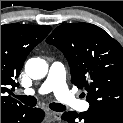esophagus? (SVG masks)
Segmentation results:
<instances>
[{"mask_svg":"<svg viewBox=\"0 0 123 123\" xmlns=\"http://www.w3.org/2000/svg\"><path fill=\"white\" fill-rule=\"evenodd\" d=\"M47 115L52 116L54 118V120H56V121L61 120V113H59V112L48 111Z\"/></svg>","mask_w":123,"mask_h":123,"instance_id":"obj_1","label":"esophagus"}]
</instances>
